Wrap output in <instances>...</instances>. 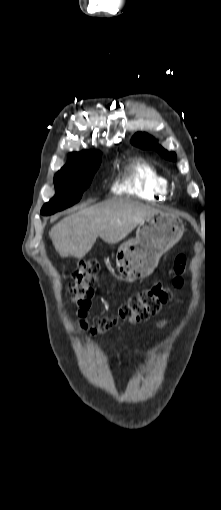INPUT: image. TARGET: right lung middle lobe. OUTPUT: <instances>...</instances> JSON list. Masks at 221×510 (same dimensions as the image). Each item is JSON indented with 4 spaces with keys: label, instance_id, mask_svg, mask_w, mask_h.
Wrapping results in <instances>:
<instances>
[{
    "label": "right lung middle lobe",
    "instance_id": "1",
    "mask_svg": "<svg viewBox=\"0 0 221 510\" xmlns=\"http://www.w3.org/2000/svg\"><path fill=\"white\" fill-rule=\"evenodd\" d=\"M101 163V157L86 160L79 165L64 166L54 177L55 196L41 209V214L51 215L77 203Z\"/></svg>",
    "mask_w": 221,
    "mask_h": 510
}]
</instances>
